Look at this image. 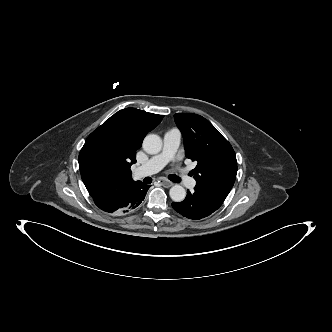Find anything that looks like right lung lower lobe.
Instances as JSON below:
<instances>
[{
	"label": "right lung lower lobe",
	"mask_w": 332,
	"mask_h": 332,
	"mask_svg": "<svg viewBox=\"0 0 332 332\" xmlns=\"http://www.w3.org/2000/svg\"><path fill=\"white\" fill-rule=\"evenodd\" d=\"M149 185L140 181L128 184L115 191L93 197L97 207L108 213H127L135 209L145 198Z\"/></svg>",
	"instance_id": "obj_1"
}]
</instances>
